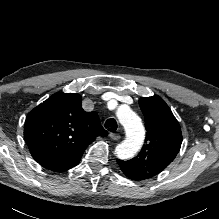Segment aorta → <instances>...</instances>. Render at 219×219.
Segmentation results:
<instances>
[{
	"mask_svg": "<svg viewBox=\"0 0 219 219\" xmlns=\"http://www.w3.org/2000/svg\"><path fill=\"white\" fill-rule=\"evenodd\" d=\"M120 123L126 130V139L116 147L118 158H132L142 147L145 139V129L140 117L129 107H121L117 112Z\"/></svg>",
	"mask_w": 219,
	"mask_h": 219,
	"instance_id": "762f6f07",
	"label": "aorta"
}]
</instances>
